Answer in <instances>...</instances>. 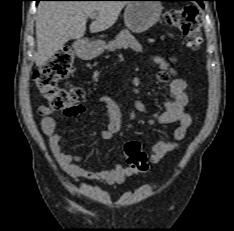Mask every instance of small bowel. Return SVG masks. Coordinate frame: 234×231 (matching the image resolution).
<instances>
[{"label":"small bowel","instance_id":"obj_1","mask_svg":"<svg viewBox=\"0 0 234 231\" xmlns=\"http://www.w3.org/2000/svg\"><path fill=\"white\" fill-rule=\"evenodd\" d=\"M153 61L162 69L168 68L166 60L160 56H154ZM170 98L163 101V110L160 112L149 111L139 100H134L136 110L160 124L177 123L173 131L172 140H160L152 148L150 162L157 164L169 153L179 148L180 141L185 137L188 128L192 123L190 114L185 110L188 103L186 82L182 78H174L170 83ZM102 101L106 106L109 123L107 129L101 133L103 139H110L116 135H122V112L118 102L111 96L105 95ZM86 113L84 105H76L65 111V116H79ZM41 118L40 126L44 135L48 138L49 148L53 157L69 176L78 179L101 181L108 185L121 184L127 177L134 174L136 170L128 165L116 164L112 168L100 171H89L78 165L82 160L80 156L66 153L62 150L61 134L56 129V120L53 117V110L45 105L38 108Z\"/></svg>","mask_w":234,"mask_h":231}]
</instances>
